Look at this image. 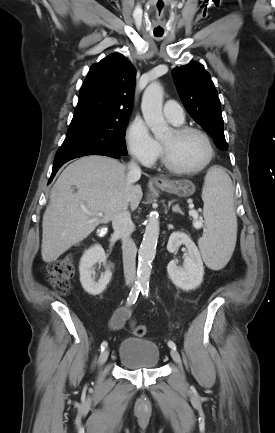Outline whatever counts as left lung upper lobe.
Listing matches in <instances>:
<instances>
[{
    "instance_id": "obj_1",
    "label": "left lung upper lobe",
    "mask_w": 275,
    "mask_h": 433,
    "mask_svg": "<svg viewBox=\"0 0 275 433\" xmlns=\"http://www.w3.org/2000/svg\"><path fill=\"white\" fill-rule=\"evenodd\" d=\"M172 76L187 112L214 138L219 149L227 150L221 104L209 73L203 65L189 63L174 68Z\"/></svg>"
}]
</instances>
